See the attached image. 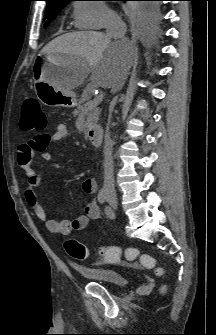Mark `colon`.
<instances>
[{"label":"colon","instance_id":"5ec220e1","mask_svg":"<svg viewBox=\"0 0 216 335\" xmlns=\"http://www.w3.org/2000/svg\"><path fill=\"white\" fill-rule=\"evenodd\" d=\"M21 129L25 132H43L47 127V118L41 109L39 101L34 97H28L22 104L21 111ZM47 134L37 135L30 142L34 150L40 151L45 146ZM66 252L74 259L85 260L89 257L87 247L74 238H69L64 243ZM100 258L106 263L127 262L132 263L137 259L139 265L147 269H154L157 275H162L164 270L156 265L155 259L149 254H141L136 248H127L122 250L117 246L101 248L99 250ZM161 292L166 291V287L160 288Z\"/></svg>","mask_w":216,"mask_h":335}]
</instances>
